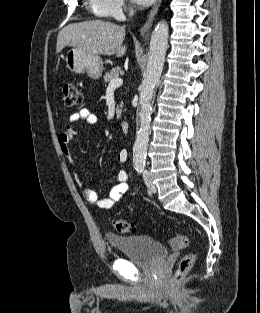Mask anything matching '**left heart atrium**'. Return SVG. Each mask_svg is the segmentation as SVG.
I'll use <instances>...</instances> for the list:
<instances>
[{"mask_svg": "<svg viewBox=\"0 0 260 313\" xmlns=\"http://www.w3.org/2000/svg\"><path fill=\"white\" fill-rule=\"evenodd\" d=\"M134 4L140 7H147L149 6L154 0H131Z\"/></svg>", "mask_w": 260, "mask_h": 313, "instance_id": "1", "label": "left heart atrium"}]
</instances>
